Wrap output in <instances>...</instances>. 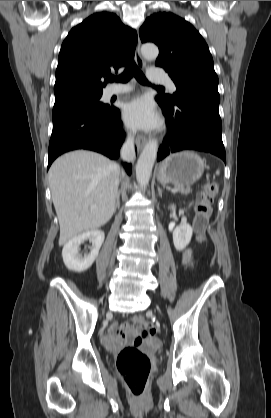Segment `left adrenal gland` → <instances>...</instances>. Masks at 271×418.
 I'll list each match as a JSON object with an SVG mask.
<instances>
[{
  "instance_id": "1",
  "label": "left adrenal gland",
  "mask_w": 271,
  "mask_h": 418,
  "mask_svg": "<svg viewBox=\"0 0 271 418\" xmlns=\"http://www.w3.org/2000/svg\"><path fill=\"white\" fill-rule=\"evenodd\" d=\"M157 189H158L159 196L162 197V189L159 186H157Z\"/></svg>"
}]
</instances>
